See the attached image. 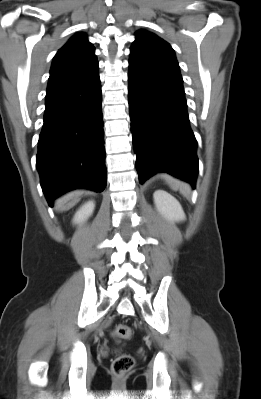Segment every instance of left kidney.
Here are the masks:
<instances>
[{
    "instance_id": "left-kidney-1",
    "label": "left kidney",
    "mask_w": 261,
    "mask_h": 399,
    "mask_svg": "<svg viewBox=\"0 0 261 399\" xmlns=\"http://www.w3.org/2000/svg\"><path fill=\"white\" fill-rule=\"evenodd\" d=\"M157 210L166 219L174 222L186 219L185 213L179 201L164 190H157L153 194Z\"/></svg>"
}]
</instances>
